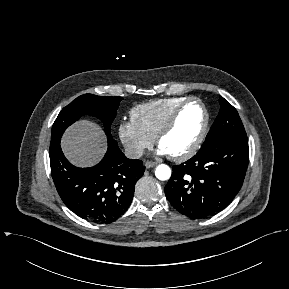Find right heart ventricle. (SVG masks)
Instances as JSON below:
<instances>
[{
  "label": "right heart ventricle",
  "mask_w": 289,
  "mask_h": 289,
  "mask_svg": "<svg viewBox=\"0 0 289 289\" xmlns=\"http://www.w3.org/2000/svg\"><path fill=\"white\" fill-rule=\"evenodd\" d=\"M187 97L176 96L153 100L132 108L131 119L148 135L156 138L175 108Z\"/></svg>",
  "instance_id": "e07e8e85"
}]
</instances>
